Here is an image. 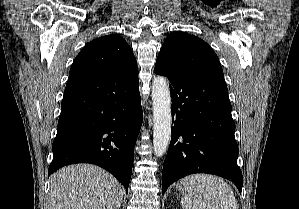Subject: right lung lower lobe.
I'll use <instances>...</instances> for the list:
<instances>
[{
    "label": "right lung lower lobe",
    "instance_id": "obj_1",
    "mask_svg": "<svg viewBox=\"0 0 299 209\" xmlns=\"http://www.w3.org/2000/svg\"><path fill=\"white\" fill-rule=\"evenodd\" d=\"M138 78L117 74L69 79L52 144L50 176L73 163L96 164L128 191L134 146L142 124Z\"/></svg>",
    "mask_w": 299,
    "mask_h": 209
}]
</instances>
